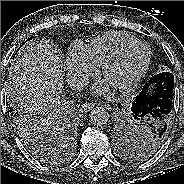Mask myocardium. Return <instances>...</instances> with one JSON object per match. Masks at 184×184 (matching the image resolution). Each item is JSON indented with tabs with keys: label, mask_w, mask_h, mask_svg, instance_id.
<instances>
[{
	"label": "myocardium",
	"mask_w": 184,
	"mask_h": 184,
	"mask_svg": "<svg viewBox=\"0 0 184 184\" xmlns=\"http://www.w3.org/2000/svg\"><path fill=\"white\" fill-rule=\"evenodd\" d=\"M136 47H142L146 50L145 60L142 64L141 68L139 69V71L135 74V76H133L130 80H128L124 84L114 87L116 90H118L120 92H128V91L133 90L141 82V80L143 79V77L147 73L150 62H151V57H152V53H151L149 46L147 44L139 41V40L125 44L122 47H120L118 50H116L101 65L100 73L103 75L106 72V70L111 65L116 63L127 51H129L133 48H136Z\"/></svg>",
	"instance_id": "1"
}]
</instances>
